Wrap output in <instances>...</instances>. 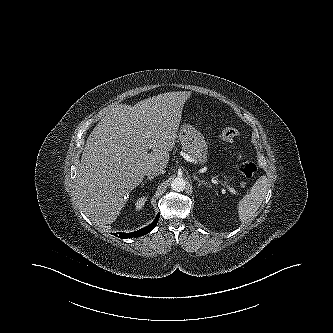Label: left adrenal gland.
<instances>
[{"label":"left adrenal gland","instance_id":"obj_1","mask_svg":"<svg viewBox=\"0 0 333 333\" xmlns=\"http://www.w3.org/2000/svg\"><path fill=\"white\" fill-rule=\"evenodd\" d=\"M194 179L198 182V186L200 187L201 185L207 186V183H205L204 180H200L197 176H194Z\"/></svg>","mask_w":333,"mask_h":333}]
</instances>
